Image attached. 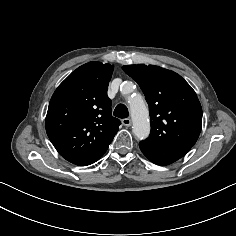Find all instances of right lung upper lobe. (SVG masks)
I'll use <instances>...</instances> for the list:
<instances>
[{
  "label": "right lung upper lobe",
  "instance_id": "right-lung-upper-lobe-1",
  "mask_svg": "<svg viewBox=\"0 0 236 236\" xmlns=\"http://www.w3.org/2000/svg\"><path fill=\"white\" fill-rule=\"evenodd\" d=\"M113 66L90 62L55 90L47 111V135L61 156L101 157L120 125L112 116L107 88Z\"/></svg>",
  "mask_w": 236,
  "mask_h": 236
}]
</instances>
